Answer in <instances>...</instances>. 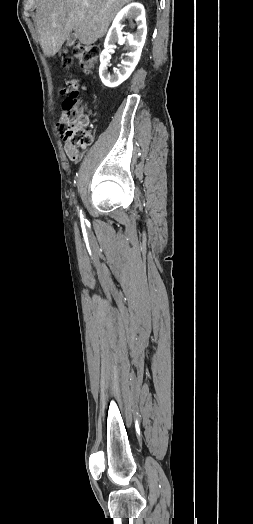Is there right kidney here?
<instances>
[{
    "instance_id": "1",
    "label": "right kidney",
    "mask_w": 253,
    "mask_h": 524,
    "mask_svg": "<svg viewBox=\"0 0 253 524\" xmlns=\"http://www.w3.org/2000/svg\"><path fill=\"white\" fill-rule=\"evenodd\" d=\"M125 19H134L136 31L133 34L123 36L122 21ZM147 34L145 9L140 3H131L124 7L115 17L111 28L108 31L104 42V50L100 55L99 76L102 83L107 87H117L125 81L134 71L139 62L142 48L145 43ZM124 44L128 51L127 57L122 60L120 69L114 70V74L108 72V63L110 62V53L115 48L116 43Z\"/></svg>"
}]
</instances>
